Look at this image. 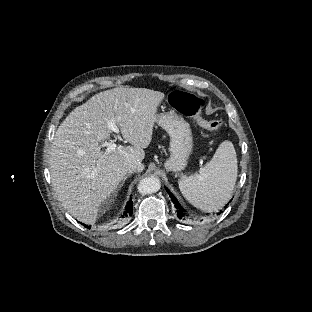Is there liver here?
I'll use <instances>...</instances> for the list:
<instances>
[{"instance_id":"1","label":"liver","mask_w":312,"mask_h":312,"mask_svg":"<svg viewBox=\"0 0 312 312\" xmlns=\"http://www.w3.org/2000/svg\"><path fill=\"white\" fill-rule=\"evenodd\" d=\"M164 96L146 88H113L92 96L60 124L49 157L51 182L58 201L78 221L95 224L99 207L116 195L128 164L144 159ZM112 117L132 146L103 152L99 142L110 138Z\"/></svg>"}]
</instances>
